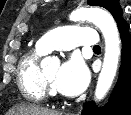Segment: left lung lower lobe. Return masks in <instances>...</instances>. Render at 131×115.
<instances>
[{
  "label": "left lung lower lobe",
  "mask_w": 131,
  "mask_h": 115,
  "mask_svg": "<svg viewBox=\"0 0 131 115\" xmlns=\"http://www.w3.org/2000/svg\"><path fill=\"white\" fill-rule=\"evenodd\" d=\"M122 41L121 67L118 81L109 102L95 110L93 103H85L82 115H130L131 114V36L129 25L123 19L118 24Z\"/></svg>",
  "instance_id": "1"
}]
</instances>
